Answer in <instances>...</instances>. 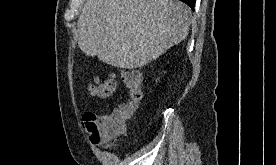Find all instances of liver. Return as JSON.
Masks as SVG:
<instances>
[{"label":"liver","instance_id":"1","mask_svg":"<svg viewBox=\"0 0 276 165\" xmlns=\"http://www.w3.org/2000/svg\"><path fill=\"white\" fill-rule=\"evenodd\" d=\"M190 14L178 0H87L77 22L78 46L114 67L140 68L185 39Z\"/></svg>","mask_w":276,"mask_h":165}]
</instances>
